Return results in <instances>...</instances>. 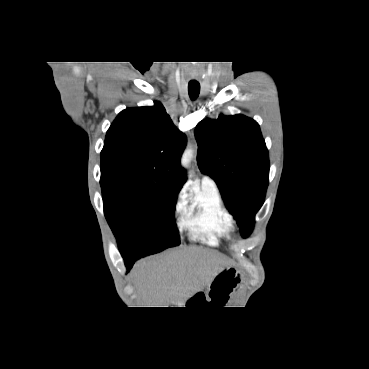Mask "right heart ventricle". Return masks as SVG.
<instances>
[{
  "label": "right heart ventricle",
  "mask_w": 369,
  "mask_h": 369,
  "mask_svg": "<svg viewBox=\"0 0 369 369\" xmlns=\"http://www.w3.org/2000/svg\"><path fill=\"white\" fill-rule=\"evenodd\" d=\"M181 225L193 239L210 246L229 238L233 230L231 216L219 191L204 184L184 204Z\"/></svg>",
  "instance_id": "right-heart-ventricle-1"
}]
</instances>
